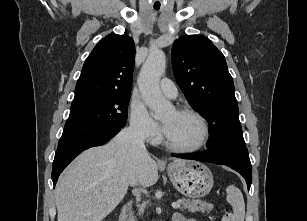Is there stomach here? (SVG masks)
Instances as JSON below:
<instances>
[{"label": "stomach", "instance_id": "1", "mask_svg": "<svg viewBox=\"0 0 307 221\" xmlns=\"http://www.w3.org/2000/svg\"><path fill=\"white\" fill-rule=\"evenodd\" d=\"M169 178L179 192L190 198L207 195L213 187L210 169L197 161L172 162L167 168Z\"/></svg>", "mask_w": 307, "mask_h": 221}]
</instances>
